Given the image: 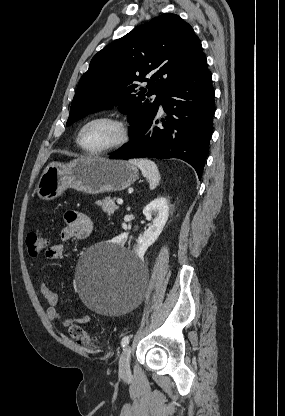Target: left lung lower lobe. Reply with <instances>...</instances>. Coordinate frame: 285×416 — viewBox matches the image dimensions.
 <instances>
[{"instance_id":"0a47b994","label":"left lung lower lobe","mask_w":285,"mask_h":416,"mask_svg":"<svg viewBox=\"0 0 285 416\" xmlns=\"http://www.w3.org/2000/svg\"><path fill=\"white\" fill-rule=\"evenodd\" d=\"M161 104L167 113L161 120L163 128L156 127L155 114L110 158H179L189 163L201 179L215 111L212 75L205 55L167 91Z\"/></svg>"}]
</instances>
